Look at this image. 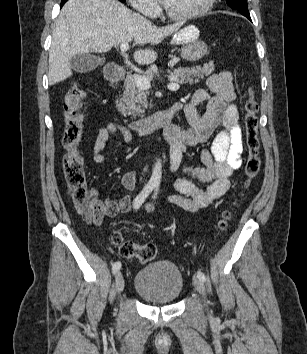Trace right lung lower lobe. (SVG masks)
Segmentation results:
<instances>
[{"instance_id": "98d812e1", "label": "right lung lower lobe", "mask_w": 307, "mask_h": 354, "mask_svg": "<svg viewBox=\"0 0 307 354\" xmlns=\"http://www.w3.org/2000/svg\"><path fill=\"white\" fill-rule=\"evenodd\" d=\"M67 0H62L61 1V7L64 5V3L66 2Z\"/></svg>"}]
</instances>
